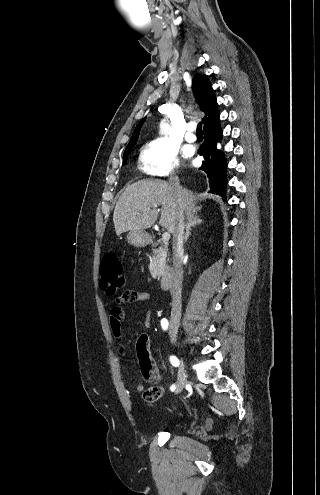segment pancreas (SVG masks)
<instances>
[{
	"label": "pancreas",
	"instance_id": "obj_1",
	"mask_svg": "<svg viewBox=\"0 0 320 495\" xmlns=\"http://www.w3.org/2000/svg\"><path fill=\"white\" fill-rule=\"evenodd\" d=\"M166 255V248L160 247L159 249L154 250L149 265V272L152 275V278H159L163 274V272L167 270L168 265L166 261Z\"/></svg>",
	"mask_w": 320,
	"mask_h": 495
}]
</instances>
